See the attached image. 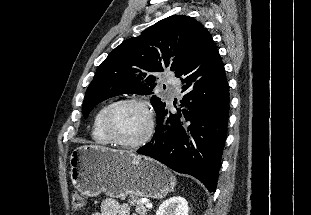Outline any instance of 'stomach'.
I'll return each instance as SVG.
<instances>
[{
  "mask_svg": "<svg viewBox=\"0 0 311 215\" xmlns=\"http://www.w3.org/2000/svg\"><path fill=\"white\" fill-rule=\"evenodd\" d=\"M73 186L84 196L102 192L115 198L127 195L163 198L176 184L172 173L155 160L98 145L77 147L70 156Z\"/></svg>",
  "mask_w": 311,
  "mask_h": 215,
  "instance_id": "1",
  "label": "stomach"
}]
</instances>
